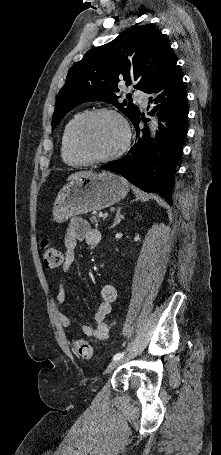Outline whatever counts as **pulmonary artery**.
<instances>
[{"label":"pulmonary artery","instance_id":"e3ab8cb5","mask_svg":"<svg viewBox=\"0 0 221 455\" xmlns=\"http://www.w3.org/2000/svg\"><path fill=\"white\" fill-rule=\"evenodd\" d=\"M133 94H134L135 96H137V97H138V96H141V92H140L139 90H134V91H133Z\"/></svg>","mask_w":221,"mask_h":455}]
</instances>
